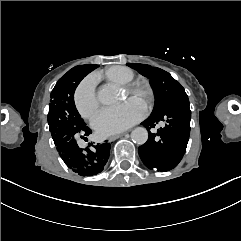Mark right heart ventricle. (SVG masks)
Segmentation results:
<instances>
[{"mask_svg": "<svg viewBox=\"0 0 241 241\" xmlns=\"http://www.w3.org/2000/svg\"><path fill=\"white\" fill-rule=\"evenodd\" d=\"M106 77L115 83L126 85L132 81L134 74L124 66H111L106 70Z\"/></svg>", "mask_w": 241, "mask_h": 241, "instance_id": "right-heart-ventricle-1", "label": "right heart ventricle"}]
</instances>
